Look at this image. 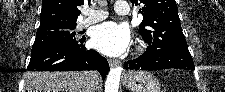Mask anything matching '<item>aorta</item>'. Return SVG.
Instances as JSON below:
<instances>
[{
  "label": "aorta",
  "instance_id": "762f6f07",
  "mask_svg": "<svg viewBox=\"0 0 225 92\" xmlns=\"http://www.w3.org/2000/svg\"><path fill=\"white\" fill-rule=\"evenodd\" d=\"M121 72V66H117L110 70L105 82V92H118Z\"/></svg>",
  "mask_w": 225,
  "mask_h": 92
}]
</instances>
